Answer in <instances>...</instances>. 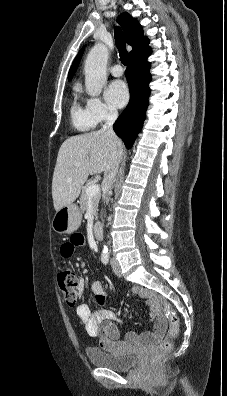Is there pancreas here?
<instances>
[{
  "mask_svg": "<svg viewBox=\"0 0 227 396\" xmlns=\"http://www.w3.org/2000/svg\"><path fill=\"white\" fill-rule=\"evenodd\" d=\"M91 184H92V182H89L88 184H86L82 188V193H81V196H80V209H81L82 212L86 211L87 208H88L89 199L91 198L93 216L95 217V219H97L98 203H99L101 195H100V193H98V194H96L95 196H92V197L87 195L86 189Z\"/></svg>",
  "mask_w": 227,
  "mask_h": 396,
  "instance_id": "cf45deb5",
  "label": "pancreas"
}]
</instances>
